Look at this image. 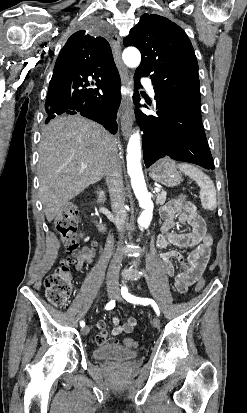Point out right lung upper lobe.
<instances>
[{
	"label": "right lung upper lobe",
	"mask_w": 247,
	"mask_h": 413,
	"mask_svg": "<svg viewBox=\"0 0 247 413\" xmlns=\"http://www.w3.org/2000/svg\"><path fill=\"white\" fill-rule=\"evenodd\" d=\"M117 72L109 43L81 30L70 36L60 51L52 77L67 73L96 77Z\"/></svg>",
	"instance_id": "cb5924a9"
}]
</instances>
